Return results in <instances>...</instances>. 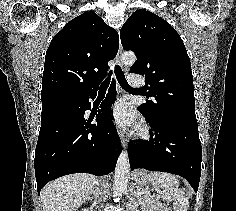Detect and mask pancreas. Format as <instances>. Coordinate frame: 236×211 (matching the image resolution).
I'll return each instance as SVG.
<instances>
[{"label":"pancreas","mask_w":236,"mask_h":211,"mask_svg":"<svg viewBox=\"0 0 236 211\" xmlns=\"http://www.w3.org/2000/svg\"><path fill=\"white\" fill-rule=\"evenodd\" d=\"M139 191L143 192V194L139 197L138 201L144 208L150 211H160V209L163 208L157 198L149 195L144 189H140Z\"/></svg>","instance_id":"pancreas-1"}]
</instances>
